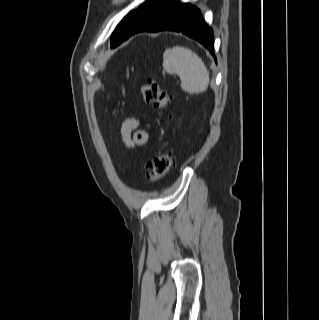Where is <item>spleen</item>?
Here are the masks:
<instances>
[{"label":"spleen","instance_id":"obj_1","mask_svg":"<svg viewBox=\"0 0 319 320\" xmlns=\"http://www.w3.org/2000/svg\"><path fill=\"white\" fill-rule=\"evenodd\" d=\"M163 69L177 74L181 88L190 94L203 93L209 85V72L202 59L186 47H172L163 54Z\"/></svg>","mask_w":319,"mask_h":320}]
</instances>
